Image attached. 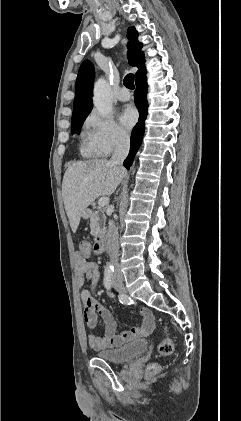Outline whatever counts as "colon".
<instances>
[{"label":"colon","instance_id":"5ec220e1","mask_svg":"<svg viewBox=\"0 0 241 421\" xmlns=\"http://www.w3.org/2000/svg\"><path fill=\"white\" fill-rule=\"evenodd\" d=\"M92 252H94L93 244H91L89 241H82L79 244V253L82 256L86 257L90 255ZM162 330L164 332V336L158 346V351L161 355L168 356L173 352L174 345H173L172 340L167 334V329L165 326H162ZM147 371L150 375L156 374L159 371V365L156 363H152L148 366Z\"/></svg>","mask_w":241,"mask_h":421}]
</instances>
